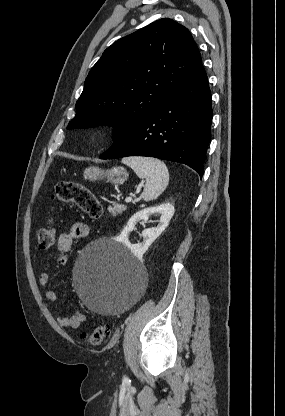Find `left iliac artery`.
Listing matches in <instances>:
<instances>
[{"instance_id": "left-iliac-artery-1", "label": "left iliac artery", "mask_w": 285, "mask_h": 416, "mask_svg": "<svg viewBox=\"0 0 285 416\" xmlns=\"http://www.w3.org/2000/svg\"><path fill=\"white\" fill-rule=\"evenodd\" d=\"M128 378L126 376H124V380H127Z\"/></svg>"}]
</instances>
